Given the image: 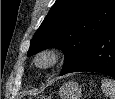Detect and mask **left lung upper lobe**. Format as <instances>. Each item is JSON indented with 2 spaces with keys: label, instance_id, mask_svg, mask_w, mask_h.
Masks as SVG:
<instances>
[{
  "label": "left lung upper lobe",
  "instance_id": "5c2ea615",
  "mask_svg": "<svg viewBox=\"0 0 115 99\" xmlns=\"http://www.w3.org/2000/svg\"><path fill=\"white\" fill-rule=\"evenodd\" d=\"M115 24V0H56L33 36L28 56L50 47L65 53L66 74Z\"/></svg>",
  "mask_w": 115,
  "mask_h": 99
}]
</instances>
